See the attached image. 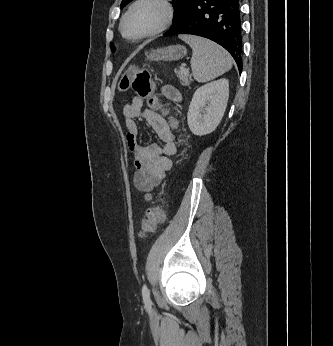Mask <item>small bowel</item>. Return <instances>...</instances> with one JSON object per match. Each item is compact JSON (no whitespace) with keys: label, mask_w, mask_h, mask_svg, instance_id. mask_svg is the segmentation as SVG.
Wrapping results in <instances>:
<instances>
[{"label":"small bowel","mask_w":333,"mask_h":346,"mask_svg":"<svg viewBox=\"0 0 333 346\" xmlns=\"http://www.w3.org/2000/svg\"><path fill=\"white\" fill-rule=\"evenodd\" d=\"M162 90L172 101H180V93L174 87L164 86ZM123 114L127 130L126 140L133 153L136 167L134 185L137 190L145 193V199L149 201L152 190L161 183L172 168L171 157L177 152L173 130L177 125L168 119V110L162 105H158V111L145 108L143 100L139 97L133 98L123 107ZM136 120L145 121L156 132L163 145L142 144L141 131Z\"/></svg>","instance_id":"c3829d8e"}]
</instances>
